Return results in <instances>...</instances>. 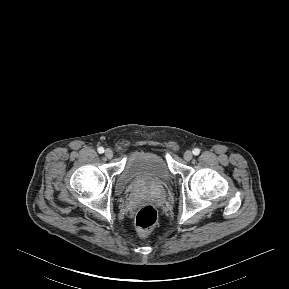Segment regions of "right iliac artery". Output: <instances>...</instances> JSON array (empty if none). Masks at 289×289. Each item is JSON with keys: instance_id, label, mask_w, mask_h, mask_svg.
<instances>
[{"instance_id": "right-iliac-artery-1", "label": "right iliac artery", "mask_w": 289, "mask_h": 289, "mask_svg": "<svg viewBox=\"0 0 289 289\" xmlns=\"http://www.w3.org/2000/svg\"><path fill=\"white\" fill-rule=\"evenodd\" d=\"M97 150H98V152H99L100 154H102V153L104 152V148H103V147H99Z\"/></svg>"}]
</instances>
